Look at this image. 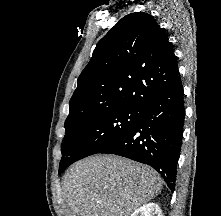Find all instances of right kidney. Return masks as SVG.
<instances>
[{
  "label": "right kidney",
  "mask_w": 221,
  "mask_h": 216,
  "mask_svg": "<svg viewBox=\"0 0 221 216\" xmlns=\"http://www.w3.org/2000/svg\"><path fill=\"white\" fill-rule=\"evenodd\" d=\"M131 216H163L160 207L156 203L144 204L136 209Z\"/></svg>",
  "instance_id": "ca27d5eb"
}]
</instances>
